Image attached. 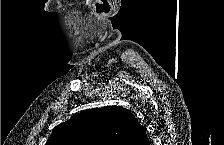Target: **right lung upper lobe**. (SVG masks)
<instances>
[{
  "label": "right lung upper lobe",
  "instance_id": "right-lung-upper-lobe-1",
  "mask_svg": "<svg viewBox=\"0 0 224 145\" xmlns=\"http://www.w3.org/2000/svg\"><path fill=\"white\" fill-rule=\"evenodd\" d=\"M46 145H150L147 134L126 108L89 109L56 126Z\"/></svg>",
  "mask_w": 224,
  "mask_h": 145
}]
</instances>
